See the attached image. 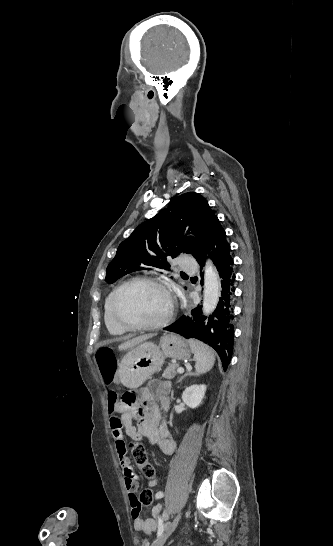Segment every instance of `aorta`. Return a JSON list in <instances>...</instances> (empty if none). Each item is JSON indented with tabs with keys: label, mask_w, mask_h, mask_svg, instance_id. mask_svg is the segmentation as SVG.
<instances>
[{
	"label": "aorta",
	"mask_w": 333,
	"mask_h": 546,
	"mask_svg": "<svg viewBox=\"0 0 333 546\" xmlns=\"http://www.w3.org/2000/svg\"><path fill=\"white\" fill-rule=\"evenodd\" d=\"M203 293V313L209 315L216 309L220 296L219 276L211 261L206 263Z\"/></svg>",
	"instance_id": "obj_1"
}]
</instances>
